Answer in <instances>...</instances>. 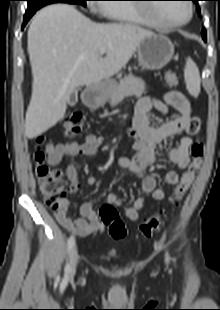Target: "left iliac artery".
Listing matches in <instances>:
<instances>
[{"mask_svg": "<svg viewBox=\"0 0 220 310\" xmlns=\"http://www.w3.org/2000/svg\"><path fill=\"white\" fill-rule=\"evenodd\" d=\"M169 259H170L169 254L166 253V262H167V263L169 262Z\"/></svg>", "mask_w": 220, "mask_h": 310, "instance_id": "1", "label": "left iliac artery"}]
</instances>
